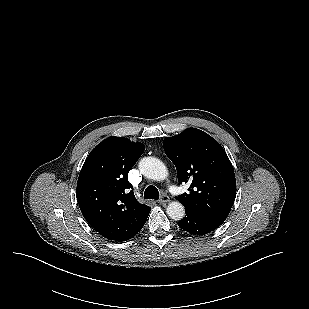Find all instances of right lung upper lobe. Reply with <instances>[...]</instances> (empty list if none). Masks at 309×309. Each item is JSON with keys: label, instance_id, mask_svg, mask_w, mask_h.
<instances>
[{"label": "right lung upper lobe", "instance_id": "cb5924a9", "mask_svg": "<svg viewBox=\"0 0 309 309\" xmlns=\"http://www.w3.org/2000/svg\"><path fill=\"white\" fill-rule=\"evenodd\" d=\"M142 143L109 137L86 158L77 181V200L86 221L103 237L122 241L146 222L151 207L140 204L128 172L144 152Z\"/></svg>", "mask_w": 309, "mask_h": 309}]
</instances>
